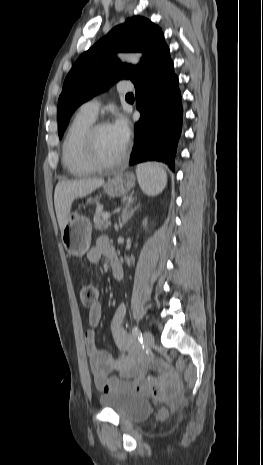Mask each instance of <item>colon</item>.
Instances as JSON below:
<instances>
[{
    "mask_svg": "<svg viewBox=\"0 0 263 465\" xmlns=\"http://www.w3.org/2000/svg\"><path fill=\"white\" fill-rule=\"evenodd\" d=\"M79 295L84 306L92 307L98 301L99 287L93 281H82L79 287ZM178 391L179 385L174 381L165 386L158 396L172 398L177 395Z\"/></svg>",
    "mask_w": 263,
    "mask_h": 465,
    "instance_id": "obj_1",
    "label": "colon"
}]
</instances>
